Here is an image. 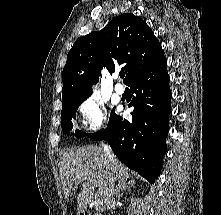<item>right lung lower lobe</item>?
Segmentation results:
<instances>
[{
	"label": "right lung lower lobe",
	"instance_id": "98d812e1",
	"mask_svg": "<svg viewBox=\"0 0 221 215\" xmlns=\"http://www.w3.org/2000/svg\"><path fill=\"white\" fill-rule=\"evenodd\" d=\"M129 86L136 94L129 105L134 106L132 121L117 115L105 130L94 134L91 139L107 140L126 166L154 183L167 151L168 117L171 112L166 58L135 77Z\"/></svg>",
	"mask_w": 221,
	"mask_h": 215
}]
</instances>
